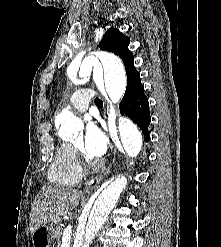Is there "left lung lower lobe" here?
Instances as JSON below:
<instances>
[{"label": "left lung lower lobe", "mask_w": 221, "mask_h": 247, "mask_svg": "<svg viewBox=\"0 0 221 247\" xmlns=\"http://www.w3.org/2000/svg\"><path fill=\"white\" fill-rule=\"evenodd\" d=\"M120 113L129 117L142 130L148 142V126L151 122L148 98L144 95V87L139 78L133 79L127 86L125 95L120 103Z\"/></svg>", "instance_id": "0a47b994"}]
</instances>
